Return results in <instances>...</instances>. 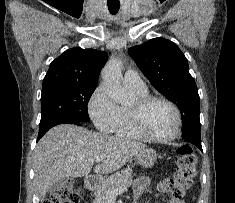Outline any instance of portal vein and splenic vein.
Segmentation results:
<instances>
[{"label":"portal vein and splenic vein","instance_id":"18ae733b","mask_svg":"<svg viewBox=\"0 0 235 203\" xmlns=\"http://www.w3.org/2000/svg\"><path fill=\"white\" fill-rule=\"evenodd\" d=\"M103 160V158L102 157H97L96 159H95V161L97 162V163H99V162H101ZM127 191V188H121V189H119V190H116V191H108L107 192V197L109 198V200H115L116 199V197H117V195L118 194H122V193H124V192H126Z\"/></svg>","mask_w":235,"mask_h":203}]
</instances>
